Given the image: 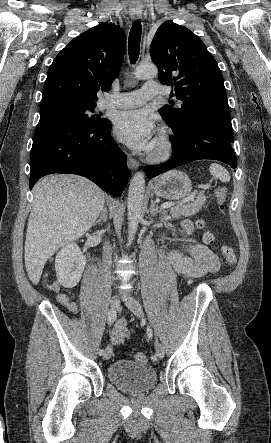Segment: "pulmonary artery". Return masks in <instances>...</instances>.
Returning <instances> with one entry per match:
<instances>
[{
    "label": "pulmonary artery",
    "mask_w": 271,
    "mask_h": 443,
    "mask_svg": "<svg viewBox=\"0 0 271 443\" xmlns=\"http://www.w3.org/2000/svg\"><path fill=\"white\" fill-rule=\"evenodd\" d=\"M160 92L154 89V84L148 82L140 90L129 93H110L98 102L99 109L134 108L143 105L148 99Z\"/></svg>",
    "instance_id": "1"
}]
</instances>
